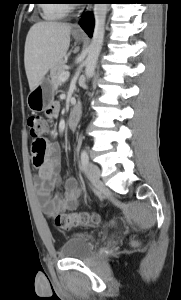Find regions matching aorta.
I'll list each match as a JSON object with an SVG mask.
<instances>
[{
  "mask_svg": "<svg viewBox=\"0 0 181 300\" xmlns=\"http://www.w3.org/2000/svg\"><path fill=\"white\" fill-rule=\"evenodd\" d=\"M106 14L107 4L97 3L94 5L95 25L91 43L88 47L87 58L85 60V76L87 79H90L94 75L98 57L103 46Z\"/></svg>",
  "mask_w": 181,
  "mask_h": 300,
  "instance_id": "762f6f07",
  "label": "aorta"
}]
</instances>
